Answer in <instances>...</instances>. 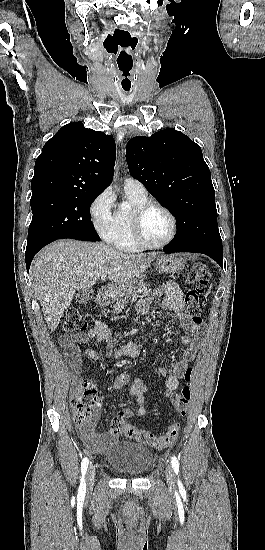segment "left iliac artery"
Listing matches in <instances>:
<instances>
[{
	"label": "left iliac artery",
	"instance_id": "1",
	"mask_svg": "<svg viewBox=\"0 0 265 550\" xmlns=\"http://www.w3.org/2000/svg\"><path fill=\"white\" fill-rule=\"evenodd\" d=\"M171 465H172V468H173L174 472L176 473V475H178L179 461H178L177 457L173 456L171 458ZM178 484H181V482L179 480H178Z\"/></svg>",
	"mask_w": 265,
	"mask_h": 550
}]
</instances>
